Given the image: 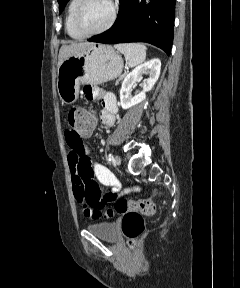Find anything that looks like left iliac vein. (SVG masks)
Returning <instances> with one entry per match:
<instances>
[{
	"instance_id": "left-iliac-vein-1",
	"label": "left iliac vein",
	"mask_w": 240,
	"mask_h": 288,
	"mask_svg": "<svg viewBox=\"0 0 240 288\" xmlns=\"http://www.w3.org/2000/svg\"><path fill=\"white\" fill-rule=\"evenodd\" d=\"M114 163L116 165H120L121 164V158L120 156L116 155L115 158H114Z\"/></svg>"
}]
</instances>
